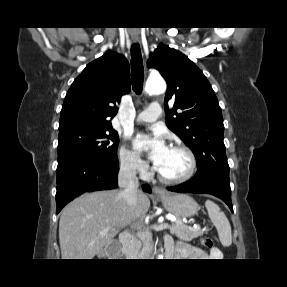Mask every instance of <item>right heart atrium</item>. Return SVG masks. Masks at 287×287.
Masks as SVG:
<instances>
[{
  "mask_svg": "<svg viewBox=\"0 0 287 287\" xmlns=\"http://www.w3.org/2000/svg\"><path fill=\"white\" fill-rule=\"evenodd\" d=\"M120 163L126 171L146 177L149 174V167L134 151L123 145L119 152Z\"/></svg>",
  "mask_w": 287,
  "mask_h": 287,
  "instance_id": "d8ad5b80",
  "label": "right heart atrium"
}]
</instances>
